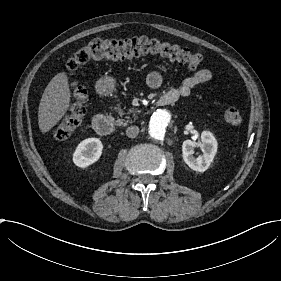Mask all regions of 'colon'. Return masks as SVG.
<instances>
[{"label":"colon","mask_w":281,"mask_h":281,"mask_svg":"<svg viewBox=\"0 0 281 281\" xmlns=\"http://www.w3.org/2000/svg\"><path fill=\"white\" fill-rule=\"evenodd\" d=\"M147 54L185 62L195 68L203 65V58L199 54L187 51L175 44L156 39L141 37L112 41H92L79 49L66 62L65 72L71 89L72 99L69 109L51 129L50 136L55 140L66 139L73 134L82 121L87 101V90L77 75V70L80 66L108 58ZM222 116L224 121L232 126H239L243 121L241 113L231 105L223 108Z\"/></svg>","instance_id":"5ec220e1"}]
</instances>
